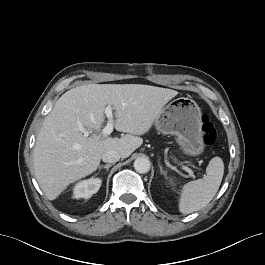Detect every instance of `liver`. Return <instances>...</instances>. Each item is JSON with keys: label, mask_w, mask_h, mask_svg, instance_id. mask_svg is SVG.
<instances>
[{"label": "liver", "mask_w": 265, "mask_h": 265, "mask_svg": "<svg viewBox=\"0 0 265 265\" xmlns=\"http://www.w3.org/2000/svg\"><path fill=\"white\" fill-rule=\"evenodd\" d=\"M177 94L141 84H87L65 92L45 117L34 147L35 177L46 197L56 199L68 185L93 173L107 150L129 157ZM106 106L115 110V129L127 134L103 136Z\"/></svg>", "instance_id": "liver-1"}]
</instances>
